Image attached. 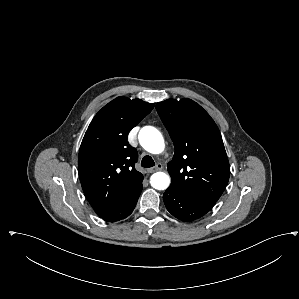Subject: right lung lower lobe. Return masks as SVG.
<instances>
[{
	"instance_id": "98d812e1",
	"label": "right lung lower lobe",
	"mask_w": 299,
	"mask_h": 299,
	"mask_svg": "<svg viewBox=\"0 0 299 299\" xmlns=\"http://www.w3.org/2000/svg\"><path fill=\"white\" fill-rule=\"evenodd\" d=\"M142 184L120 205H118L115 209L110 211L109 213L101 216L102 219L109 222L119 221L128 217L132 211L134 210L136 203L138 201L139 195L142 191Z\"/></svg>"
}]
</instances>
